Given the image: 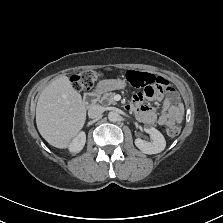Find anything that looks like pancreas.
<instances>
[{
    "instance_id": "1",
    "label": "pancreas",
    "mask_w": 223,
    "mask_h": 223,
    "mask_svg": "<svg viewBox=\"0 0 223 223\" xmlns=\"http://www.w3.org/2000/svg\"><path fill=\"white\" fill-rule=\"evenodd\" d=\"M115 93L111 92V94H108L106 96H102V99H105L108 101V105H116L117 103L114 100Z\"/></svg>"
}]
</instances>
